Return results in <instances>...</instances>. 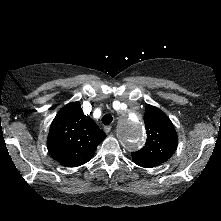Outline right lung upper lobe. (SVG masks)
<instances>
[{
  "mask_svg": "<svg viewBox=\"0 0 221 221\" xmlns=\"http://www.w3.org/2000/svg\"><path fill=\"white\" fill-rule=\"evenodd\" d=\"M106 137L97 124L84 115L79 102L65 105L51 123L47 139L50 155L67 167L88 162Z\"/></svg>",
  "mask_w": 221,
  "mask_h": 221,
  "instance_id": "right-lung-upper-lobe-1",
  "label": "right lung upper lobe"
}]
</instances>
